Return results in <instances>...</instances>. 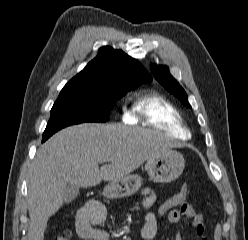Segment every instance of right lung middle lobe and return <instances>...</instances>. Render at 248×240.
Here are the masks:
<instances>
[{
    "instance_id": "obj_1",
    "label": "right lung middle lobe",
    "mask_w": 248,
    "mask_h": 240,
    "mask_svg": "<svg viewBox=\"0 0 248 240\" xmlns=\"http://www.w3.org/2000/svg\"><path fill=\"white\" fill-rule=\"evenodd\" d=\"M142 83L133 80L106 89H62L51 109L50 120L43 133L42 141L70 125L83 122H106L117 99Z\"/></svg>"
}]
</instances>
